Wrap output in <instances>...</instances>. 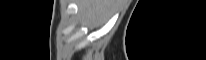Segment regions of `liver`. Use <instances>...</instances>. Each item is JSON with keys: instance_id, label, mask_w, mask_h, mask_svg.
Listing matches in <instances>:
<instances>
[{"instance_id": "liver-1", "label": "liver", "mask_w": 206, "mask_h": 60, "mask_svg": "<svg viewBox=\"0 0 206 60\" xmlns=\"http://www.w3.org/2000/svg\"><path fill=\"white\" fill-rule=\"evenodd\" d=\"M77 5L81 24L97 28L117 12L120 0H77Z\"/></svg>"}]
</instances>
